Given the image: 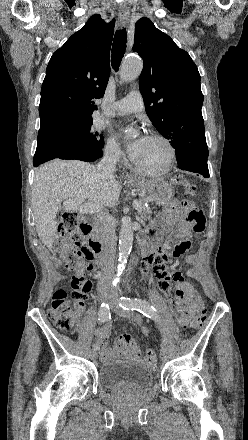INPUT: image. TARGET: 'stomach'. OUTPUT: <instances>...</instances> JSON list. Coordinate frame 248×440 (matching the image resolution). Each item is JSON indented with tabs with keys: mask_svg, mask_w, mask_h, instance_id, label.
<instances>
[{
	"mask_svg": "<svg viewBox=\"0 0 248 440\" xmlns=\"http://www.w3.org/2000/svg\"><path fill=\"white\" fill-rule=\"evenodd\" d=\"M132 187L139 191L140 196L153 200L157 205H166L174 197V189L171 184L163 180L145 181L132 179L128 182Z\"/></svg>",
	"mask_w": 248,
	"mask_h": 440,
	"instance_id": "0dacf381",
	"label": "stomach"
}]
</instances>
